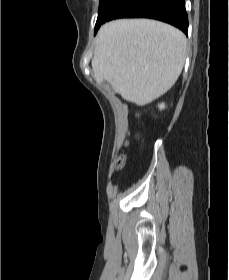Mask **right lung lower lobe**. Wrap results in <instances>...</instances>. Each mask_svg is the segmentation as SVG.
<instances>
[{"label": "right lung lower lobe", "instance_id": "98d812e1", "mask_svg": "<svg viewBox=\"0 0 229 280\" xmlns=\"http://www.w3.org/2000/svg\"><path fill=\"white\" fill-rule=\"evenodd\" d=\"M126 17L160 20L188 34L185 0H116L101 24L112 19Z\"/></svg>", "mask_w": 229, "mask_h": 280}]
</instances>
